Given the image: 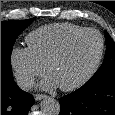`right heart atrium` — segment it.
Instances as JSON below:
<instances>
[{"label": "right heart atrium", "mask_w": 115, "mask_h": 115, "mask_svg": "<svg viewBox=\"0 0 115 115\" xmlns=\"http://www.w3.org/2000/svg\"><path fill=\"white\" fill-rule=\"evenodd\" d=\"M10 63L16 80L23 89L30 88L36 77L42 75L45 68L28 50L23 47H13L10 52Z\"/></svg>", "instance_id": "right-heart-atrium-1"}]
</instances>
